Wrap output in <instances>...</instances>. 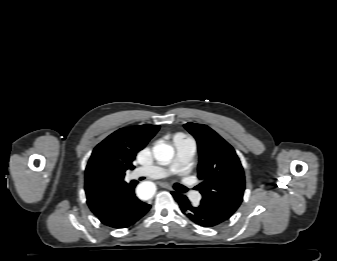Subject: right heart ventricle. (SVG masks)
<instances>
[{
    "instance_id": "e07e8e85",
    "label": "right heart ventricle",
    "mask_w": 337,
    "mask_h": 261,
    "mask_svg": "<svg viewBox=\"0 0 337 261\" xmlns=\"http://www.w3.org/2000/svg\"><path fill=\"white\" fill-rule=\"evenodd\" d=\"M173 140H174L175 143H177V142H180V141L189 140V138H187L183 134L178 133V134L174 135Z\"/></svg>"
}]
</instances>
